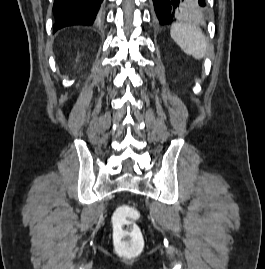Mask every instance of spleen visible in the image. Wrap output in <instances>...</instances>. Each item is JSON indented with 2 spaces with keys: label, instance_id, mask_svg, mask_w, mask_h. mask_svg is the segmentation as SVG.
Instances as JSON below:
<instances>
[{
  "label": "spleen",
  "instance_id": "spleen-1",
  "mask_svg": "<svg viewBox=\"0 0 265 269\" xmlns=\"http://www.w3.org/2000/svg\"><path fill=\"white\" fill-rule=\"evenodd\" d=\"M171 37L177 45L195 59H203L207 42L202 31L190 24H175L171 28Z\"/></svg>",
  "mask_w": 265,
  "mask_h": 269
}]
</instances>
